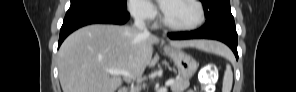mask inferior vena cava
<instances>
[{"label": "inferior vena cava", "mask_w": 296, "mask_h": 92, "mask_svg": "<svg viewBox=\"0 0 296 92\" xmlns=\"http://www.w3.org/2000/svg\"><path fill=\"white\" fill-rule=\"evenodd\" d=\"M134 26L140 30L144 35H150V32L148 31V29L145 26L144 23V16L142 15V13L137 12L135 15V19H134Z\"/></svg>", "instance_id": "inferior-vena-cava-1"}]
</instances>
